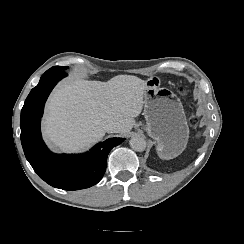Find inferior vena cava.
<instances>
[{"label": "inferior vena cava", "instance_id": "1", "mask_svg": "<svg viewBox=\"0 0 244 244\" xmlns=\"http://www.w3.org/2000/svg\"><path fill=\"white\" fill-rule=\"evenodd\" d=\"M103 127H104L106 132L113 133V132H117L118 131V127L119 126L115 122H108V123H104Z\"/></svg>", "mask_w": 244, "mask_h": 244}]
</instances>
